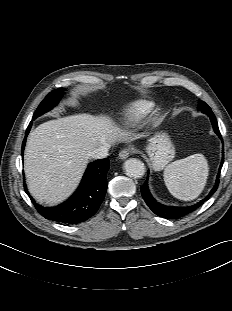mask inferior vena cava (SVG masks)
Listing matches in <instances>:
<instances>
[{"label": "inferior vena cava", "instance_id": "602c4592", "mask_svg": "<svg viewBox=\"0 0 232 311\" xmlns=\"http://www.w3.org/2000/svg\"><path fill=\"white\" fill-rule=\"evenodd\" d=\"M109 148H110V145L99 146L98 148H95L94 150L90 152L89 157L93 159L106 158L108 156Z\"/></svg>", "mask_w": 232, "mask_h": 311}]
</instances>
